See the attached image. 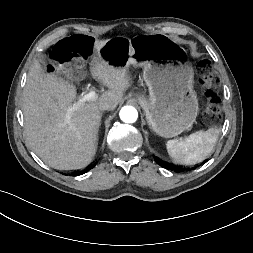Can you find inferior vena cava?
<instances>
[{"label":"inferior vena cava","instance_id":"1","mask_svg":"<svg viewBox=\"0 0 253 253\" xmlns=\"http://www.w3.org/2000/svg\"><path fill=\"white\" fill-rule=\"evenodd\" d=\"M115 108L114 104L109 101L101 102L99 105L100 110H113Z\"/></svg>","mask_w":253,"mask_h":253}]
</instances>
